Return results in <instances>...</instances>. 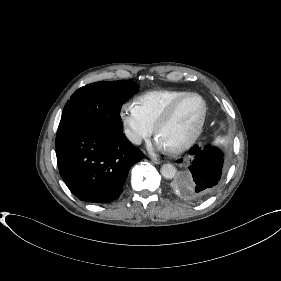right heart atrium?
<instances>
[{"mask_svg":"<svg viewBox=\"0 0 281 281\" xmlns=\"http://www.w3.org/2000/svg\"><path fill=\"white\" fill-rule=\"evenodd\" d=\"M120 117L128 139L139 144L153 132V126L147 121L135 102H125L120 109Z\"/></svg>","mask_w":281,"mask_h":281,"instance_id":"right-heart-atrium-1","label":"right heart atrium"}]
</instances>
